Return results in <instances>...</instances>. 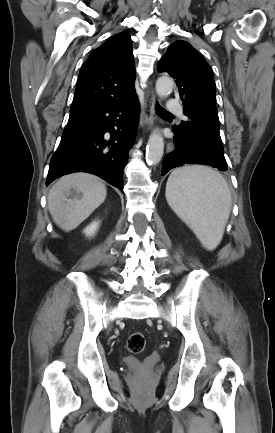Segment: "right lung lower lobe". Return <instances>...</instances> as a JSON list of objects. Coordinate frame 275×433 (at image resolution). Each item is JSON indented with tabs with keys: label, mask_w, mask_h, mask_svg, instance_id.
Masks as SVG:
<instances>
[{
	"label": "right lung lower lobe",
	"mask_w": 275,
	"mask_h": 433,
	"mask_svg": "<svg viewBox=\"0 0 275 433\" xmlns=\"http://www.w3.org/2000/svg\"><path fill=\"white\" fill-rule=\"evenodd\" d=\"M139 114L135 95L70 115L51 158L46 185L66 174L87 172L123 191V170L136 137Z\"/></svg>",
	"instance_id": "98d812e1"
}]
</instances>
